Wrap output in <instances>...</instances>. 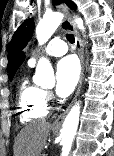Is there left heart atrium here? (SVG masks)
<instances>
[{
    "mask_svg": "<svg viewBox=\"0 0 114 156\" xmlns=\"http://www.w3.org/2000/svg\"><path fill=\"white\" fill-rule=\"evenodd\" d=\"M80 66L75 56L69 55L62 58L56 69V93L60 97L69 96L79 79Z\"/></svg>",
    "mask_w": 114,
    "mask_h": 156,
    "instance_id": "left-heart-atrium-1",
    "label": "left heart atrium"
}]
</instances>
